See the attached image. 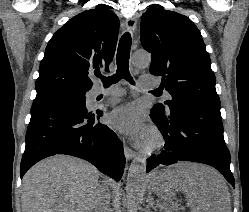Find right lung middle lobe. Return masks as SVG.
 Wrapping results in <instances>:
<instances>
[{
	"mask_svg": "<svg viewBox=\"0 0 249 212\" xmlns=\"http://www.w3.org/2000/svg\"><path fill=\"white\" fill-rule=\"evenodd\" d=\"M85 93L80 91H57L36 96L34 103H74L86 105Z\"/></svg>",
	"mask_w": 249,
	"mask_h": 212,
	"instance_id": "obj_1",
	"label": "right lung middle lobe"
}]
</instances>
